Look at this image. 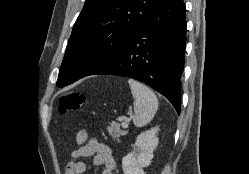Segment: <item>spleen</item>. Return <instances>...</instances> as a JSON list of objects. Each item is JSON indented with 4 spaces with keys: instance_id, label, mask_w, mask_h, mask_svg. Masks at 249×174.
I'll use <instances>...</instances> for the list:
<instances>
[{
    "instance_id": "spleen-1",
    "label": "spleen",
    "mask_w": 249,
    "mask_h": 174,
    "mask_svg": "<svg viewBox=\"0 0 249 174\" xmlns=\"http://www.w3.org/2000/svg\"><path fill=\"white\" fill-rule=\"evenodd\" d=\"M131 93L135 98L133 122L137 127L147 125L158 110V99L146 85L129 79Z\"/></svg>"
}]
</instances>
